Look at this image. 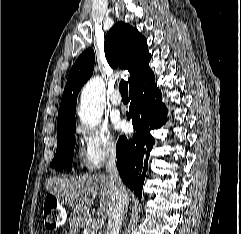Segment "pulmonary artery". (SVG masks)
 Returning <instances> with one entry per match:
<instances>
[{
	"mask_svg": "<svg viewBox=\"0 0 241 234\" xmlns=\"http://www.w3.org/2000/svg\"><path fill=\"white\" fill-rule=\"evenodd\" d=\"M110 103L113 105V106H120L122 104V99H121V96L119 94V91L115 90L111 96H110Z\"/></svg>",
	"mask_w": 241,
	"mask_h": 234,
	"instance_id": "obj_1",
	"label": "pulmonary artery"
}]
</instances>
